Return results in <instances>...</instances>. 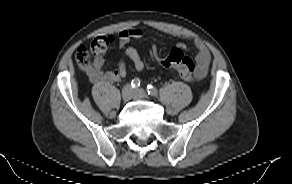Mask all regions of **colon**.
Returning a JSON list of instances; mask_svg holds the SVG:
<instances>
[{
  "mask_svg": "<svg viewBox=\"0 0 292 184\" xmlns=\"http://www.w3.org/2000/svg\"><path fill=\"white\" fill-rule=\"evenodd\" d=\"M112 41L110 36H99L93 39L89 48L83 45L79 46L75 54L78 66L88 70L92 66V59L102 56ZM149 53L162 66L174 69L181 78L187 81H193L195 64L184 54L182 49L175 47L165 57H162L156 43L152 42L149 46Z\"/></svg>",
  "mask_w": 292,
  "mask_h": 184,
  "instance_id": "1",
  "label": "colon"
}]
</instances>
